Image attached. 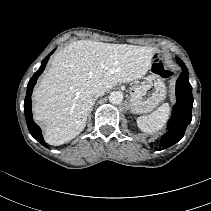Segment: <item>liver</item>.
<instances>
[{
  "label": "liver",
  "mask_w": 211,
  "mask_h": 211,
  "mask_svg": "<svg viewBox=\"0 0 211 211\" xmlns=\"http://www.w3.org/2000/svg\"><path fill=\"white\" fill-rule=\"evenodd\" d=\"M155 48L79 40L59 51L33 92V114L44 127L45 141L62 145L85 128L93 92L142 78Z\"/></svg>",
  "instance_id": "obj_1"
}]
</instances>
